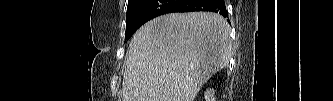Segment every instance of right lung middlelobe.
<instances>
[{
	"mask_svg": "<svg viewBox=\"0 0 333 101\" xmlns=\"http://www.w3.org/2000/svg\"><path fill=\"white\" fill-rule=\"evenodd\" d=\"M144 0H128L127 14H126V32H125V41L129 40L130 37L135 32L133 30V20L134 17L143 3Z\"/></svg>",
	"mask_w": 333,
	"mask_h": 101,
	"instance_id": "1",
	"label": "right lung middle lobe"
}]
</instances>
